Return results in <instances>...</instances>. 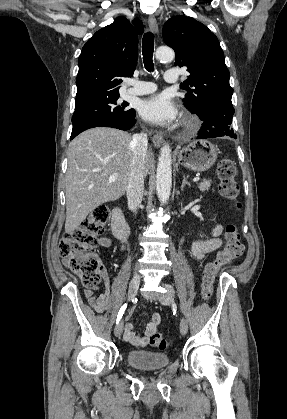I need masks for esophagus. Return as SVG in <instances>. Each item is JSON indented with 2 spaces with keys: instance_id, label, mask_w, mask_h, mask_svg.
I'll return each instance as SVG.
<instances>
[{
  "instance_id": "esophagus-1",
  "label": "esophagus",
  "mask_w": 287,
  "mask_h": 419,
  "mask_svg": "<svg viewBox=\"0 0 287 419\" xmlns=\"http://www.w3.org/2000/svg\"><path fill=\"white\" fill-rule=\"evenodd\" d=\"M148 24H149L150 29L155 34H157L158 33V24H157L156 18L154 16H152V15L149 16V18H148ZM152 142H153V144H154L155 147L159 148L162 145V143H163V136H162V134L160 132H155L152 135Z\"/></svg>"
}]
</instances>
